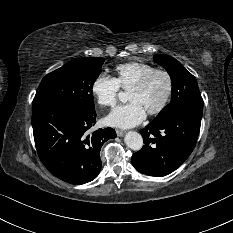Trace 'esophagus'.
I'll return each instance as SVG.
<instances>
[{
    "label": "esophagus",
    "instance_id": "esophagus-1",
    "mask_svg": "<svg viewBox=\"0 0 233 233\" xmlns=\"http://www.w3.org/2000/svg\"><path fill=\"white\" fill-rule=\"evenodd\" d=\"M116 134H117V136L122 137L125 134V131L117 129Z\"/></svg>",
    "mask_w": 233,
    "mask_h": 233
}]
</instances>
